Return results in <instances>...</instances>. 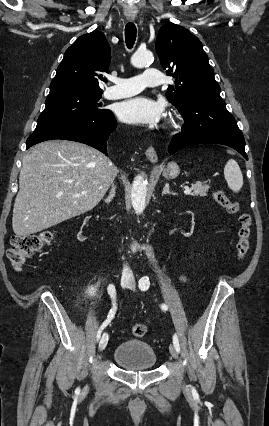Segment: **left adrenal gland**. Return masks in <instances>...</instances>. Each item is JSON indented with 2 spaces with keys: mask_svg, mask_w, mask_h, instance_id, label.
Masks as SVG:
<instances>
[{
  "mask_svg": "<svg viewBox=\"0 0 269 426\" xmlns=\"http://www.w3.org/2000/svg\"><path fill=\"white\" fill-rule=\"evenodd\" d=\"M166 194L175 195V193H174V192H171V191L169 190V184H168V183H166V184H165V186H164V188H163V191H162V196H164V195H166Z\"/></svg>",
  "mask_w": 269,
  "mask_h": 426,
  "instance_id": "1",
  "label": "left adrenal gland"
}]
</instances>
